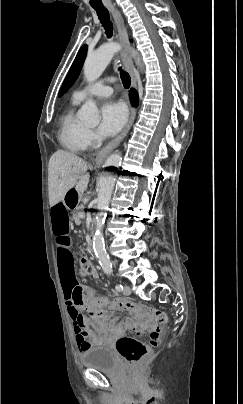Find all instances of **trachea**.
I'll return each mask as SVG.
<instances>
[{"instance_id": "trachea-1", "label": "trachea", "mask_w": 243, "mask_h": 404, "mask_svg": "<svg viewBox=\"0 0 243 404\" xmlns=\"http://www.w3.org/2000/svg\"><path fill=\"white\" fill-rule=\"evenodd\" d=\"M93 8L94 10H96L100 23L104 27L105 34L107 35L108 38L112 37L113 25L112 22L110 21L108 10L104 6H98ZM119 70L123 86L125 88H129L131 82L130 75L124 70H122L121 67H119Z\"/></svg>"}]
</instances>
